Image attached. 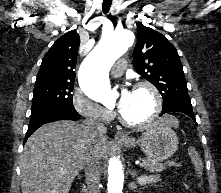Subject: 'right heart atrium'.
Returning a JSON list of instances; mask_svg holds the SVG:
<instances>
[{
	"label": "right heart atrium",
	"mask_w": 221,
	"mask_h": 193,
	"mask_svg": "<svg viewBox=\"0 0 221 193\" xmlns=\"http://www.w3.org/2000/svg\"><path fill=\"white\" fill-rule=\"evenodd\" d=\"M71 103L77 113L89 120L106 123L113 117L112 111L100 105L79 89L74 90Z\"/></svg>",
	"instance_id": "right-heart-atrium-1"
}]
</instances>
